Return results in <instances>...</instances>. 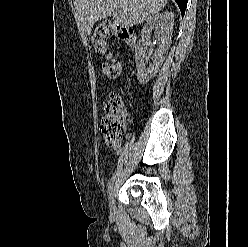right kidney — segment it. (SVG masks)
Wrapping results in <instances>:
<instances>
[{
  "label": "right kidney",
  "instance_id": "right-kidney-1",
  "mask_svg": "<svg viewBox=\"0 0 248 247\" xmlns=\"http://www.w3.org/2000/svg\"><path fill=\"white\" fill-rule=\"evenodd\" d=\"M173 25L174 14L166 11L149 18L143 27L135 54L137 78L141 84H145L152 79L163 63L170 48ZM153 32L159 47L153 55V63L146 67L144 60L148 59L146 50L147 46L151 44L150 38Z\"/></svg>",
  "mask_w": 248,
  "mask_h": 247
}]
</instances>
